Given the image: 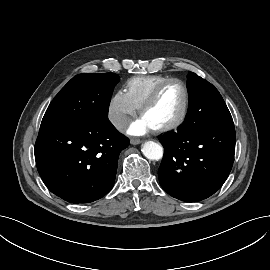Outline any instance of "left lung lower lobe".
<instances>
[{
    "label": "left lung lower lobe",
    "mask_w": 270,
    "mask_h": 270,
    "mask_svg": "<svg viewBox=\"0 0 270 270\" xmlns=\"http://www.w3.org/2000/svg\"><path fill=\"white\" fill-rule=\"evenodd\" d=\"M189 111L176 132L159 137L165 151L158 176L168 194L197 202L213 195L226 181L233 166L236 135L234 125H197Z\"/></svg>",
    "instance_id": "1"
}]
</instances>
